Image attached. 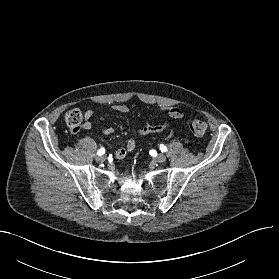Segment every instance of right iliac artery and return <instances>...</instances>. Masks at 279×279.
<instances>
[{
	"instance_id": "82829eb1",
	"label": "right iliac artery",
	"mask_w": 279,
	"mask_h": 279,
	"mask_svg": "<svg viewBox=\"0 0 279 279\" xmlns=\"http://www.w3.org/2000/svg\"><path fill=\"white\" fill-rule=\"evenodd\" d=\"M104 153H105L104 148L99 149L98 152H97L98 155H103Z\"/></svg>"
}]
</instances>
